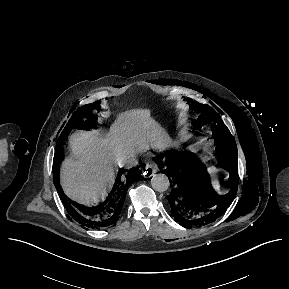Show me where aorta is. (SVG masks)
<instances>
[{
	"instance_id": "1",
	"label": "aorta",
	"mask_w": 289,
	"mask_h": 289,
	"mask_svg": "<svg viewBox=\"0 0 289 289\" xmlns=\"http://www.w3.org/2000/svg\"><path fill=\"white\" fill-rule=\"evenodd\" d=\"M151 186L155 191L164 192L169 187V179L165 174H155L151 179Z\"/></svg>"
}]
</instances>
